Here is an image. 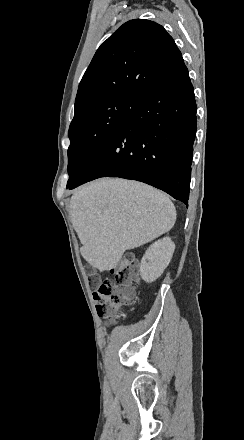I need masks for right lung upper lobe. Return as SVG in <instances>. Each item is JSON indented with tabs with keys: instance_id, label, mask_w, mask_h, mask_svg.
Returning a JSON list of instances; mask_svg holds the SVG:
<instances>
[{
	"instance_id": "cb5924a9",
	"label": "right lung upper lobe",
	"mask_w": 244,
	"mask_h": 440,
	"mask_svg": "<svg viewBox=\"0 0 244 440\" xmlns=\"http://www.w3.org/2000/svg\"><path fill=\"white\" fill-rule=\"evenodd\" d=\"M182 64V54L163 26L130 20L98 48L79 84L75 106L119 95L142 97Z\"/></svg>"
}]
</instances>
